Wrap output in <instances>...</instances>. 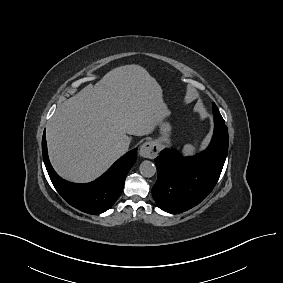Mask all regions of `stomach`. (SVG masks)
<instances>
[{
	"label": "stomach",
	"mask_w": 283,
	"mask_h": 283,
	"mask_svg": "<svg viewBox=\"0 0 283 283\" xmlns=\"http://www.w3.org/2000/svg\"><path fill=\"white\" fill-rule=\"evenodd\" d=\"M161 128V137L155 140V144L157 146H163L164 144H170V133H171V126L169 123L164 122L160 125Z\"/></svg>",
	"instance_id": "stomach-1"
}]
</instances>
